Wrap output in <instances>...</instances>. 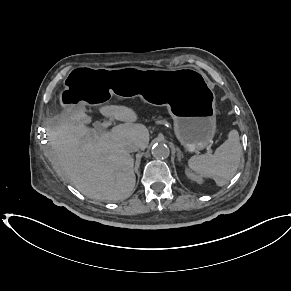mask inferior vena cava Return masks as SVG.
<instances>
[{
	"mask_svg": "<svg viewBox=\"0 0 291 291\" xmlns=\"http://www.w3.org/2000/svg\"><path fill=\"white\" fill-rule=\"evenodd\" d=\"M126 149L129 153L137 152L139 150V146L136 143H131L127 145Z\"/></svg>",
	"mask_w": 291,
	"mask_h": 291,
	"instance_id": "602c4592",
	"label": "inferior vena cava"
}]
</instances>
